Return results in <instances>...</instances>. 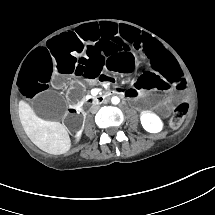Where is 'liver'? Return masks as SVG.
<instances>
[{
    "mask_svg": "<svg viewBox=\"0 0 215 215\" xmlns=\"http://www.w3.org/2000/svg\"><path fill=\"white\" fill-rule=\"evenodd\" d=\"M19 118L28 138L41 150L50 154H63L70 149L69 134L60 122L39 118L24 101L19 103Z\"/></svg>",
    "mask_w": 215,
    "mask_h": 215,
    "instance_id": "6515ba94",
    "label": "liver"
}]
</instances>
